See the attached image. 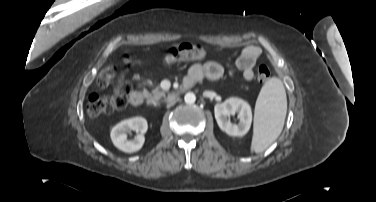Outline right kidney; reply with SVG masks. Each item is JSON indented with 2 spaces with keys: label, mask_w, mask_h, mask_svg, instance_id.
I'll use <instances>...</instances> for the list:
<instances>
[{
  "label": "right kidney",
  "mask_w": 376,
  "mask_h": 202,
  "mask_svg": "<svg viewBox=\"0 0 376 202\" xmlns=\"http://www.w3.org/2000/svg\"><path fill=\"white\" fill-rule=\"evenodd\" d=\"M148 129V124L143 117H133L126 119L115 125L110 133L111 140L115 147L126 153L139 151L145 141L144 135ZM134 130L139 133L133 140L127 139V132Z\"/></svg>",
  "instance_id": "ca27d5eb"
}]
</instances>
